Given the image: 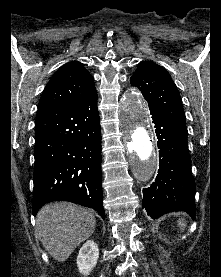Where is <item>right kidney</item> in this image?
Listing matches in <instances>:
<instances>
[{"mask_svg": "<svg viewBox=\"0 0 221 277\" xmlns=\"http://www.w3.org/2000/svg\"><path fill=\"white\" fill-rule=\"evenodd\" d=\"M99 258L98 245L88 240L79 250L77 257V266L79 272L83 275H88L97 264Z\"/></svg>", "mask_w": 221, "mask_h": 277, "instance_id": "obj_1", "label": "right kidney"}]
</instances>
